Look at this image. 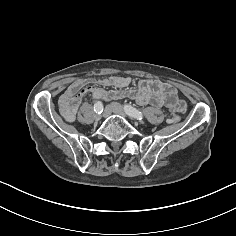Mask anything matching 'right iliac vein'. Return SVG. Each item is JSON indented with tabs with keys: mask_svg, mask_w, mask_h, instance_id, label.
Returning <instances> with one entry per match:
<instances>
[{
	"mask_svg": "<svg viewBox=\"0 0 236 236\" xmlns=\"http://www.w3.org/2000/svg\"><path fill=\"white\" fill-rule=\"evenodd\" d=\"M111 115V107L108 105L104 109L103 117L108 118Z\"/></svg>",
	"mask_w": 236,
	"mask_h": 236,
	"instance_id": "right-iliac-vein-1",
	"label": "right iliac vein"
}]
</instances>
